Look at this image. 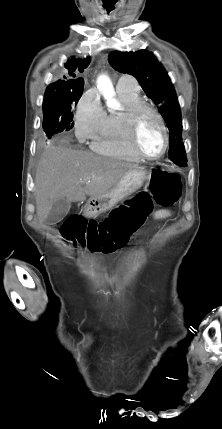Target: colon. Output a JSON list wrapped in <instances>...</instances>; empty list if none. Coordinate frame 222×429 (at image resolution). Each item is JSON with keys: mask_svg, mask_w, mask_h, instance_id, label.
I'll return each mask as SVG.
<instances>
[{"mask_svg": "<svg viewBox=\"0 0 222 429\" xmlns=\"http://www.w3.org/2000/svg\"><path fill=\"white\" fill-rule=\"evenodd\" d=\"M150 191L152 198L143 192L125 205L113 210L103 221L87 220L82 216L68 217L62 225L64 237L75 245L92 251L112 252L127 244L145 222L153 209V200L162 207L175 205L181 197L179 175L162 169L151 172Z\"/></svg>", "mask_w": 222, "mask_h": 429, "instance_id": "obj_1", "label": "colon"}]
</instances>
